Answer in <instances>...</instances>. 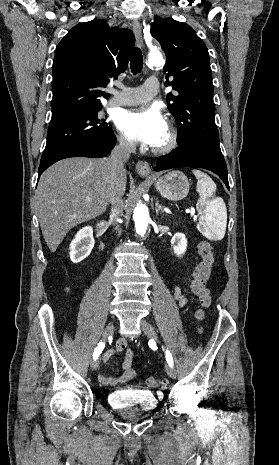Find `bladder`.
Segmentation results:
<instances>
[{
	"label": "bladder",
	"mask_w": 279,
	"mask_h": 465,
	"mask_svg": "<svg viewBox=\"0 0 279 465\" xmlns=\"http://www.w3.org/2000/svg\"><path fill=\"white\" fill-rule=\"evenodd\" d=\"M107 401L111 407L121 412H150L158 405L152 392L130 389L110 392Z\"/></svg>",
	"instance_id": "obj_1"
}]
</instances>
